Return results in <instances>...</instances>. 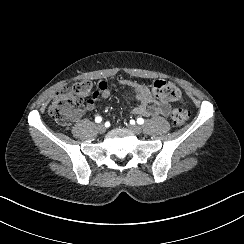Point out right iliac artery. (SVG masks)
Wrapping results in <instances>:
<instances>
[{"mask_svg": "<svg viewBox=\"0 0 244 244\" xmlns=\"http://www.w3.org/2000/svg\"><path fill=\"white\" fill-rule=\"evenodd\" d=\"M101 121H102V118L100 116H98V117L95 118V122L100 123Z\"/></svg>", "mask_w": 244, "mask_h": 244, "instance_id": "right-iliac-artery-1", "label": "right iliac artery"}]
</instances>
